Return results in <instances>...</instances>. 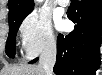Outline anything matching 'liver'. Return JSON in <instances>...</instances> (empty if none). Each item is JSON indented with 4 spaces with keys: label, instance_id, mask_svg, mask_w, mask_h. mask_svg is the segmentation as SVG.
I'll use <instances>...</instances> for the list:
<instances>
[{
    "label": "liver",
    "instance_id": "obj_1",
    "mask_svg": "<svg viewBox=\"0 0 102 75\" xmlns=\"http://www.w3.org/2000/svg\"><path fill=\"white\" fill-rule=\"evenodd\" d=\"M0 75H46L44 69L39 65H19L5 67Z\"/></svg>",
    "mask_w": 102,
    "mask_h": 75
}]
</instances>
